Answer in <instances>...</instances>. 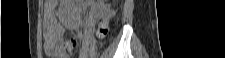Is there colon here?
Instances as JSON below:
<instances>
[{
    "label": "colon",
    "instance_id": "colon-1",
    "mask_svg": "<svg viewBox=\"0 0 225 58\" xmlns=\"http://www.w3.org/2000/svg\"><path fill=\"white\" fill-rule=\"evenodd\" d=\"M107 33V25L105 22L100 23L98 27V37L102 38ZM77 48V41L71 40L69 43L66 44L64 48V56L67 57L68 55H71L75 49Z\"/></svg>",
    "mask_w": 225,
    "mask_h": 58
}]
</instances>
